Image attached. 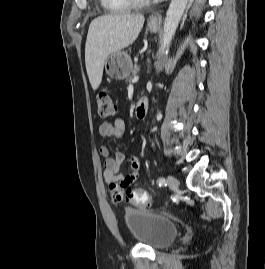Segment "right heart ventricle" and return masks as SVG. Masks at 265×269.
<instances>
[{
  "instance_id": "obj_1",
  "label": "right heart ventricle",
  "mask_w": 265,
  "mask_h": 269,
  "mask_svg": "<svg viewBox=\"0 0 265 269\" xmlns=\"http://www.w3.org/2000/svg\"><path fill=\"white\" fill-rule=\"evenodd\" d=\"M103 8L111 13L126 12L131 8L127 0H100Z\"/></svg>"
}]
</instances>
